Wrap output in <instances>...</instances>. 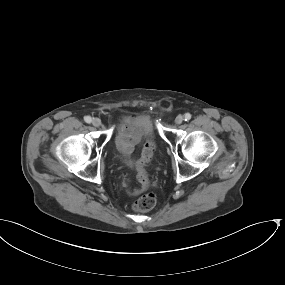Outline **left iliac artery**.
Returning a JSON list of instances; mask_svg holds the SVG:
<instances>
[{
    "instance_id": "1",
    "label": "left iliac artery",
    "mask_w": 285,
    "mask_h": 285,
    "mask_svg": "<svg viewBox=\"0 0 285 285\" xmlns=\"http://www.w3.org/2000/svg\"><path fill=\"white\" fill-rule=\"evenodd\" d=\"M191 119V114L190 113H186L185 115H184V120L185 121H189Z\"/></svg>"
}]
</instances>
